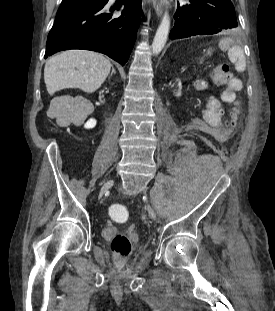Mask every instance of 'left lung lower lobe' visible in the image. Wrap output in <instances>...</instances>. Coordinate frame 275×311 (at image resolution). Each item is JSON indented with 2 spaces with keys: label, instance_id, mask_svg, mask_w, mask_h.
Segmentation results:
<instances>
[{
  "label": "left lung lower lobe",
  "instance_id": "1",
  "mask_svg": "<svg viewBox=\"0 0 275 311\" xmlns=\"http://www.w3.org/2000/svg\"><path fill=\"white\" fill-rule=\"evenodd\" d=\"M174 19L175 25L170 32V39L215 34L238 26L235 9L230 0L177 2Z\"/></svg>",
  "mask_w": 275,
  "mask_h": 311
}]
</instances>
